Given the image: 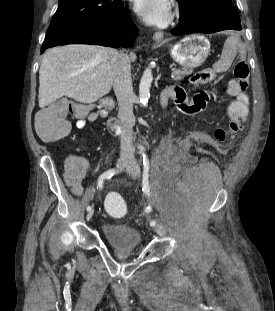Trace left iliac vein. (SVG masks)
<instances>
[{"label": "left iliac vein", "mask_w": 275, "mask_h": 311, "mask_svg": "<svg viewBox=\"0 0 275 311\" xmlns=\"http://www.w3.org/2000/svg\"><path fill=\"white\" fill-rule=\"evenodd\" d=\"M127 171L130 174L131 177L134 179H137L140 177V167L135 158L131 160V164L127 167ZM154 230L157 234L159 235H165L166 231L165 228L163 227L162 224L158 223L155 227Z\"/></svg>", "instance_id": "1"}]
</instances>
